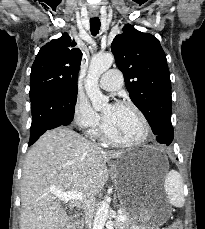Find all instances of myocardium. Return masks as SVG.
Listing matches in <instances>:
<instances>
[{
	"label": "myocardium",
	"instance_id": "myocardium-1",
	"mask_svg": "<svg viewBox=\"0 0 205 229\" xmlns=\"http://www.w3.org/2000/svg\"><path fill=\"white\" fill-rule=\"evenodd\" d=\"M118 105L129 107L137 114L138 118L140 119L141 125H142V133L137 139L132 140V141L116 140L113 137H111V135L109 134L107 130L105 119L103 118L102 124H101L102 137L104 138V140L107 143L113 146H117V147H135V146L141 145L142 143H144L147 140L150 134V125H149V122L145 114L136 104H134L131 101H126V100L121 101L118 103Z\"/></svg>",
	"mask_w": 205,
	"mask_h": 229
}]
</instances>
